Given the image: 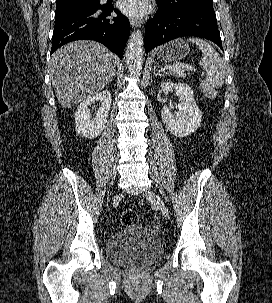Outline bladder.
<instances>
[{
    "label": "bladder",
    "mask_w": 272,
    "mask_h": 303,
    "mask_svg": "<svg viewBox=\"0 0 272 303\" xmlns=\"http://www.w3.org/2000/svg\"><path fill=\"white\" fill-rule=\"evenodd\" d=\"M107 257L128 266L147 267L163 256V245L152 229L132 225L112 235L106 245Z\"/></svg>",
    "instance_id": "31cf9c89"
}]
</instances>
